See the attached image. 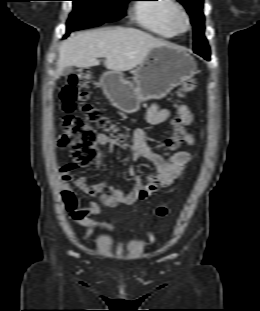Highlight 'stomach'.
I'll return each instance as SVG.
<instances>
[{
  "instance_id": "1",
  "label": "stomach",
  "mask_w": 260,
  "mask_h": 311,
  "mask_svg": "<svg viewBox=\"0 0 260 311\" xmlns=\"http://www.w3.org/2000/svg\"><path fill=\"white\" fill-rule=\"evenodd\" d=\"M196 73L195 59L183 48L167 44L148 53L138 67L133 83L126 81L121 72L113 70L103 73L100 82L115 107L133 113L142 101L165 97Z\"/></svg>"
}]
</instances>
